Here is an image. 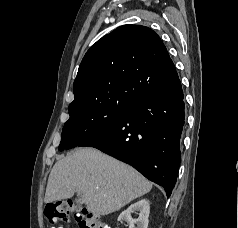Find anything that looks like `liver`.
<instances>
[{
  "instance_id": "liver-1",
  "label": "liver",
  "mask_w": 238,
  "mask_h": 228,
  "mask_svg": "<svg viewBox=\"0 0 238 228\" xmlns=\"http://www.w3.org/2000/svg\"><path fill=\"white\" fill-rule=\"evenodd\" d=\"M152 189L134 168L94 148L76 149L57 161L48 178L45 203L71 198L74 193L88 211L108 215Z\"/></svg>"
}]
</instances>
